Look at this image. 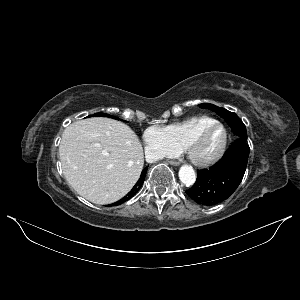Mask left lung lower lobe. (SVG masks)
<instances>
[{
	"label": "left lung lower lobe",
	"mask_w": 300,
	"mask_h": 300,
	"mask_svg": "<svg viewBox=\"0 0 300 300\" xmlns=\"http://www.w3.org/2000/svg\"><path fill=\"white\" fill-rule=\"evenodd\" d=\"M249 150L246 141L237 139L214 167L197 171L195 184L186 191L188 196L204 206L216 205L227 199L242 181Z\"/></svg>",
	"instance_id": "1"
}]
</instances>
